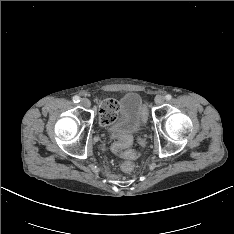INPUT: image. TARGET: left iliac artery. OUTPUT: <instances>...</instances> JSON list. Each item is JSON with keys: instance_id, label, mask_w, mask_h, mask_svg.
Listing matches in <instances>:
<instances>
[{"instance_id": "44dca946", "label": "left iliac artery", "mask_w": 234, "mask_h": 234, "mask_svg": "<svg viewBox=\"0 0 234 234\" xmlns=\"http://www.w3.org/2000/svg\"><path fill=\"white\" fill-rule=\"evenodd\" d=\"M165 98H166V100H170V99L172 98V96H171L170 94H167V95L165 96Z\"/></svg>"}]
</instances>
